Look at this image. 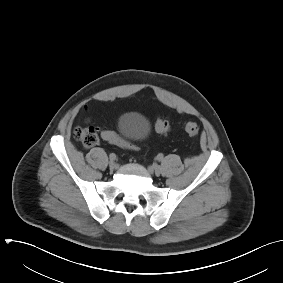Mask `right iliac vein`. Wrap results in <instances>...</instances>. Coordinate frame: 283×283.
Masks as SVG:
<instances>
[{"instance_id": "63e3f726", "label": "right iliac vein", "mask_w": 283, "mask_h": 283, "mask_svg": "<svg viewBox=\"0 0 283 283\" xmlns=\"http://www.w3.org/2000/svg\"><path fill=\"white\" fill-rule=\"evenodd\" d=\"M116 163L114 162V161H111L110 160V162H109V168H110V170H114L115 168H116Z\"/></svg>"}]
</instances>
